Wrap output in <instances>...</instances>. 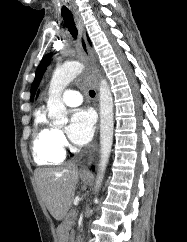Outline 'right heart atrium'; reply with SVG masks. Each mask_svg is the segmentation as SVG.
<instances>
[{
  "mask_svg": "<svg viewBox=\"0 0 187 242\" xmlns=\"http://www.w3.org/2000/svg\"><path fill=\"white\" fill-rule=\"evenodd\" d=\"M56 141H57V143H58L61 147H64V146L67 145L66 138H65L63 132L60 131V130H57V131H56Z\"/></svg>",
  "mask_w": 187,
  "mask_h": 242,
  "instance_id": "1",
  "label": "right heart atrium"
}]
</instances>
